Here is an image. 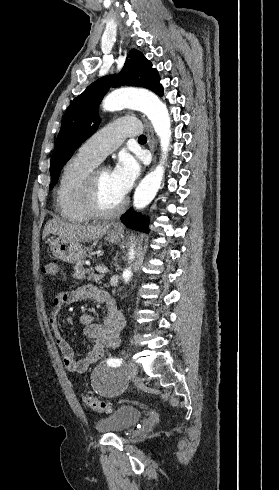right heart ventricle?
Here are the masks:
<instances>
[{"label": "right heart ventricle", "mask_w": 279, "mask_h": 490, "mask_svg": "<svg viewBox=\"0 0 279 490\" xmlns=\"http://www.w3.org/2000/svg\"><path fill=\"white\" fill-rule=\"evenodd\" d=\"M97 166L79 152L63 166L57 189V203L64 220L82 224L93 217L87 210L85 197L91 172Z\"/></svg>", "instance_id": "obj_1"}]
</instances>
